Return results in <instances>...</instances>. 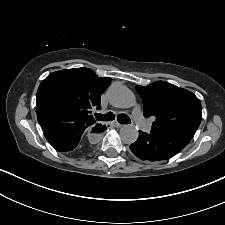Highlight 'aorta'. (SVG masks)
<instances>
[{"label":"aorta","instance_id":"obj_1","mask_svg":"<svg viewBox=\"0 0 225 225\" xmlns=\"http://www.w3.org/2000/svg\"><path fill=\"white\" fill-rule=\"evenodd\" d=\"M110 103L117 108H131L136 104L134 93L125 86H115L109 93ZM139 136L138 129L132 125H124L120 129V137L125 144L134 143Z\"/></svg>","mask_w":225,"mask_h":225}]
</instances>
